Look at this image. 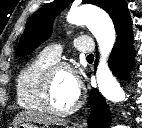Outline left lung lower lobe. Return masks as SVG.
<instances>
[{
    "instance_id": "left-lung-lower-lobe-1",
    "label": "left lung lower lobe",
    "mask_w": 142,
    "mask_h": 128,
    "mask_svg": "<svg viewBox=\"0 0 142 128\" xmlns=\"http://www.w3.org/2000/svg\"><path fill=\"white\" fill-rule=\"evenodd\" d=\"M132 23L117 33V39L109 59V67L116 77L127 78L134 64ZM97 66V61L95 67ZM91 114L87 120L89 128H108L111 125V113L105 98L97 91H91Z\"/></svg>"
}]
</instances>
